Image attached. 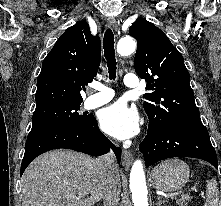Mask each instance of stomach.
<instances>
[{
  "instance_id": "0dacf381",
  "label": "stomach",
  "mask_w": 221,
  "mask_h": 206,
  "mask_svg": "<svg viewBox=\"0 0 221 206\" xmlns=\"http://www.w3.org/2000/svg\"><path fill=\"white\" fill-rule=\"evenodd\" d=\"M189 173V167L185 162L179 159H170L153 169L151 183L155 189L160 191H178L187 183Z\"/></svg>"
}]
</instances>
